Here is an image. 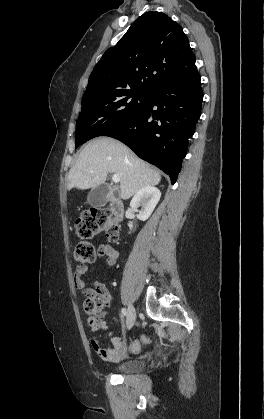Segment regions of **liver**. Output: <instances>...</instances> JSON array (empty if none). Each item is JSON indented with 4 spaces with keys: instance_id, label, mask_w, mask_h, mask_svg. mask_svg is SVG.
I'll return each mask as SVG.
<instances>
[{
    "instance_id": "6515ba94",
    "label": "liver",
    "mask_w": 264,
    "mask_h": 419,
    "mask_svg": "<svg viewBox=\"0 0 264 419\" xmlns=\"http://www.w3.org/2000/svg\"><path fill=\"white\" fill-rule=\"evenodd\" d=\"M109 173L120 176V198L126 200L141 188L155 186L160 173L127 146L109 137L90 141L67 176V189H89L105 183Z\"/></svg>"
}]
</instances>
